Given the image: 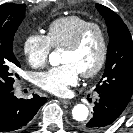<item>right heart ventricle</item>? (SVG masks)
Returning <instances> with one entry per match:
<instances>
[{"mask_svg":"<svg viewBox=\"0 0 133 133\" xmlns=\"http://www.w3.org/2000/svg\"><path fill=\"white\" fill-rule=\"evenodd\" d=\"M89 21L79 15H68L50 23L47 37L54 48H64Z\"/></svg>","mask_w":133,"mask_h":133,"instance_id":"1","label":"right heart ventricle"}]
</instances>
